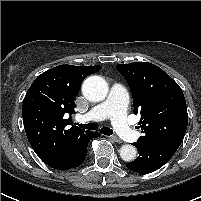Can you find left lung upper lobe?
Instances as JSON below:
<instances>
[{"instance_id":"obj_1","label":"left lung upper lobe","mask_w":201,"mask_h":201,"mask_svg":"<svg viewBox=\"0 0 201 201\" xmlns=\"http://www.w3.org/2000/svg\"><path fill=\"white\" fill-rule=\"evenodd\" d=\"M117 71L127 80L133 97L134 113L140 112L144 145H180L188 124L184 94L161 68L148 62L118 64Z\"/></svg>"}]
</instances>
